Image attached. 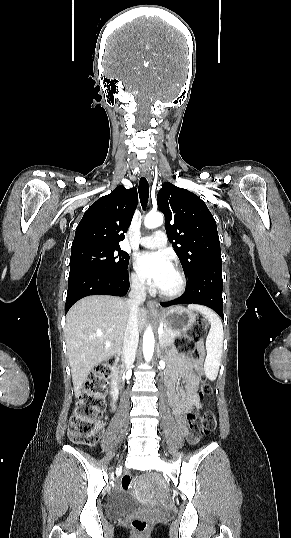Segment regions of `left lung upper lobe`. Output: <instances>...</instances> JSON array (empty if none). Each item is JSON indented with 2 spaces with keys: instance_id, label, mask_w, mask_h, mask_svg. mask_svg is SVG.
<instances>
[{
  "instance_id": "left-lung-upper-lobe-1",
  "label": "left lung upper lobe",
  "mask_w": 291,
  "mask_h": 538,
  "mask_svg": "<svg viewBox=\"0 0 291 538\" xmlns=\"http://www.w3.org/2000/svg\"><path fill=\"white\" fill-rule=\"evenodd\" d=\"M157 204L165 215L168 239L188 278L204 267L222 264L216 222L200 197L167 182L157 195Z\"/></svg>"
}]
</instances>
